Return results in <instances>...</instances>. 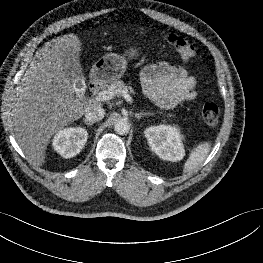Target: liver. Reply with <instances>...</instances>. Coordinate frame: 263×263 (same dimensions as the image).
<instances>
[{"label":"liver","instance_id":"1","mask_svg":"<svg viewBox=\"0 0 263 263\" xmlns=\"http://www.w3.org/2000/svg\"><path fill=\"white\" fill-rule=\"evenodd\" d=\"M70 50L80 56L78 36L68 34L38 50L11 99L10 120L15 139L34 165L45 163L51 137L79 119L96 100L74 97L63 57Z\"/></svg>","mask_w":263,"mask_h":263}]
</instances>
